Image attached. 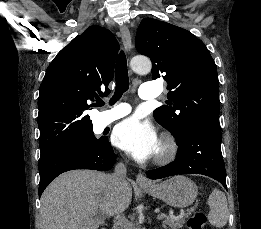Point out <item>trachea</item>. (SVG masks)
Masks as SVG:
<instances>
[{"mask_svg":"<svg viewBox=\"0 0 261 229\" xmlns=\"http://www.w3.org/2000/svg\"><path fill=\"white\" fill-rule=\"evenodd\" d=\"M115 78H116V89L115 93L110 100V104L113 105L117 100L120 99L122 94L129 89V77H128V67L126 61V55L121 52L118 55L115 67ZM96 106L101 107L104 105V101L101 99L96 100Z\"/></svg>","mask_w":261,"mask_h":229,"instance_id":"3493384b","label":"trachea"}]
</instances>
